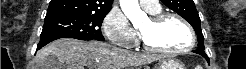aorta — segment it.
Wrapping results in <instances>:
<instances>
[{
    "mask_svg": "<svg viewBox=\"0 0 246 69\" xmlns=\"http://www.w3.org/2000/svg\"><path fill=\"white\" fill-rule=\"evenodd\" d=\"M120 6L133 25H136L142 19L147 18V15L141 11L138 0H120Z\"/></svg>",
    "mask_w": 246,
    "mask_h": 69,
    "instance_id": "762f6f07",
    "label": "aorta"
}]
</instances>
